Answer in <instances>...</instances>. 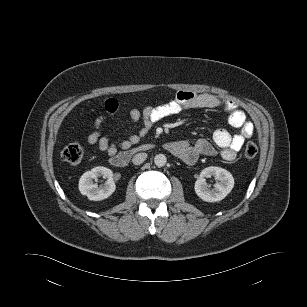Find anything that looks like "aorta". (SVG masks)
I'll use <instances>...</instances> for the list:
<instances>
[{"instance_id": "obj_1", "label": "aorta", "mask_w": 307, "mask_h": 307, "mask_svg": "<svg viewBox=\"0 0 307 307\" xmlns=\"http://www.w3.org/2000/svg\"><path fill=\"white\" fill-rule=\"evenodd\" d=\"M167 158L164 154H157L154 158V163L158 167L165 166Z\"/></svg>"}]
</instances>
